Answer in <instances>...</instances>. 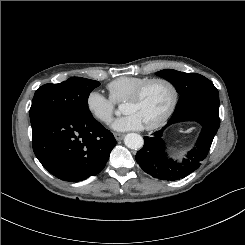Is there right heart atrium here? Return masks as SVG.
Instances as JSON below:
<instances>
[{
  "mask_svg": "<svg viewBox=\"0 0 245 245\" xmlns=\"http://www.w3.org/2000/svg\"><path fill=\"white\" fill-rule=\"evenodd\" d=\"M86 108L97 121L108 124L114 115L115 104L110 97H106L98 90H92L86 97Z\"/></svg>",
  "mask_w": 245,
  "mask_h": 245,
  "instance_id": "right-heart-atrium-1",
  "label": "right heart atrium"
}]
</instances>
